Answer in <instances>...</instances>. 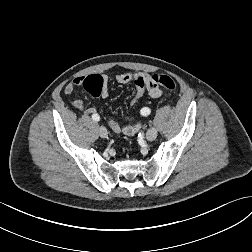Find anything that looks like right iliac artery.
Segmentation results:
<instances>
[{"label":"right iliac artery","instance_id":"obj_1","mask_svg":"<svg viewBox=\"0 0 252 252\" xmlns=\"http://www.w3.org/2000/svg\"><path fill=\"white\" fill-rule=\"evenodd\" d=\"M92 119L94 120V121H99L100 120V116L98 115V114H94L93 116H92Z\"/></svg>","mask_w":252,"mask_h":252}]
</instances>
